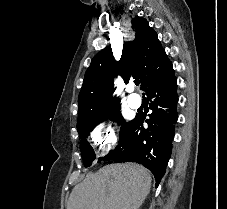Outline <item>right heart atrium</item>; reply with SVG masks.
<instances>
[{"label":"right heart atrium","instance_id":"d8ad5b80","mask_svg":"<svg viewBox=\"0 0 227 209\" xmlns=\"http://www.w3.org/2000/svg\"><path fill=\"white\" fill-rule=\"evenodd\" d=\"M91 141L93 142V144L99 145L100 150L103 153L108 152L116 144V136L113 127L109 125L105 128H95L91 132Z\"/></svg>","mask_w":227,"mask_h":209}]
</instances>
